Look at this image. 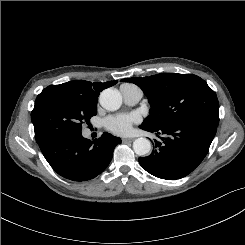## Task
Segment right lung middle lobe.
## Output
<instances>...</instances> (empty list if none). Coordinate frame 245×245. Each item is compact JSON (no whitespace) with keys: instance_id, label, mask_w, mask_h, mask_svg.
I'll use <instances>...</instances> for the list:
<instances>
[{"instance_id":"right-lung-middle-lobe-1","label":"right lung middle lobe","mask_w":245,"mask_h":245,"mask_svg":"<svg viewBox=\"0 0 245 245\" xmlns=\"http://www.w3.org/2000/svg\"><path fill=\"white\" fill-rule=\"evenodd\" d=\"M97 114V102L87 100L59 86H48L37 96L31 112L38 145L49 138L81 132L82 124Z\"/></svg>"}]
</instances>
